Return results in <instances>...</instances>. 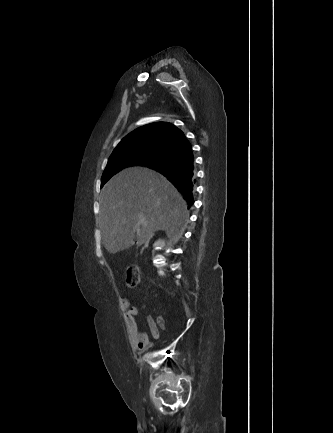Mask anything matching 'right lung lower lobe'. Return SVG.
Returning <instances> with one entry per match:
<instances>
[{
	"mask_svg": "<svg viewBox=\"0 0 333 433\" xmlns=\"http://www.w3.org/2000/svg\"><path fill=\"white\" fill-rule=\"evenodd\" d=\"M158 170L180 192L183 193L188 207L194 203L193 192L195 185L194 155L189 141L183 142L167 157L145 165Z\"/></svg>",
	"mask_w": 333,
	"mask_h": 433,
	"instance_id": "98d812e1",
	"label": "right lung lower lobe"
}]
</instances>
